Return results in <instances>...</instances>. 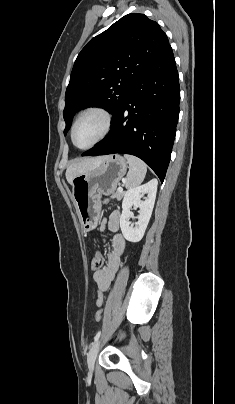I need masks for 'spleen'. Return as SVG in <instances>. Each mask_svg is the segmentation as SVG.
Instances as JSON below:
<instances>
[{
    "instance_id": "1",
    "label": "spleen",
    "mask_w": 235,
    "mask_h": 404,
    "mask_svg": "<svg viewBox=\"0 0 235 404\" xmlns=\"http://www.w3.org/2000/svg\"><path fill=\"white\" fill-rule=\"evenodd\" d=\"M125 158L129 164L126 187L131 189L143 182L147 172V167L146 164L136 156L126 154Z\"/></svg>"
}]
</instances>
